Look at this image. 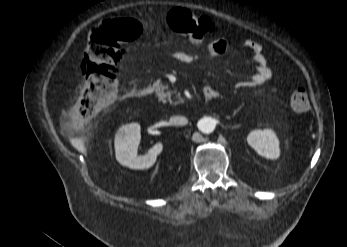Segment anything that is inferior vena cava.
I'll return each mask as SVG.
<instances>
[{"instance_id":"602c4592","label":"inferior vena cava","mask_w":347,"mask_h":247,"mask_svg":"<svg viewBox=\"0 0 347 247\" xmlns=\"http://www.w3.org/2000/svg\"><path fill=\"white\" fill-rule=\"evenodd\" d=\"M170 123L175 126H182L188 123L187 118L183 116H174L170 118Z\"/></svg>"}]
</instances>
